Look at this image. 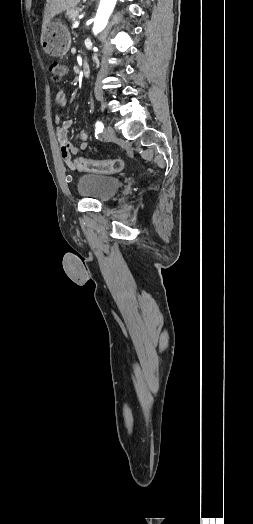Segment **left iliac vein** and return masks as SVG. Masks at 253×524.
Here are the masks:
<instances>
[{
    "instance_id": "4c4485c4",
    "label": "left iliac vein",
    "mask_w": 253,
    "mask_h": 524,
    "mask_svg": "<svg viewBox=\"0 0 253 524\" xmlns=\"http://www.w3.org/2000/svg\"><path fill=\"white\" fill-rule=\"evenodd\" d=\"M103 138L106 141H112L116 138V133L112 126L109 125L104 129Z\"/></svg>"
}]
</instances>
